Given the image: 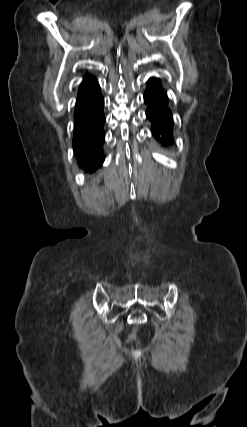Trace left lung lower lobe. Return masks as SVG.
I'll list each match as a JSON object with an SVG mask.
<instances>
[{
    "instance_id": "0a47b994",
    "label": "left lung lower lobe",
    "mask_w": 247,
    "mask_h": 427,
    "mask_svg": "<svg viewBox=\"0 0 247 427\" xmlns=\"http://www.w3.org/2000/svg\"><path fill=\"white\" fill-rule=\"evenodd\" d=\"M167 100L159 79L150 78L144 93V102L148 105L146 116L152 123V134L162 145L173 142V119Z\"/></svg>"
}]
</instances>
